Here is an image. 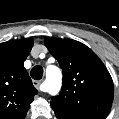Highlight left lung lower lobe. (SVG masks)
I'll use <instances>...</instances> for the list:
<instances>
[{
	"label": "left lung lower lobe",
	"instance_id": "left-lung-lower-lobe-1",
	"mask_svg": "<svg viewBox=\"0 0 119 119\" xmlns=\"http://www.w3.org/2000/svg\"><path fill=\"white\" fill-rule=\"evenodd\" d=\"M56 115V114H55ZM57 119H84L74 115H56Z\"/></svg>",
	"mask_w": 119,
	"mask_h": 119
}]
</instances>
